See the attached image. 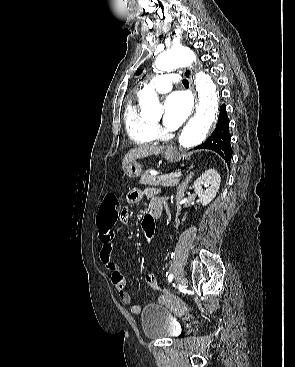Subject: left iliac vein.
Returning <instances> with one entry per match:
<instances>
[{
	"mask_svg": "<svg viewBox=\"0 0 295 367\" xmlns=\"http://www.w3.org/2000/svg\"><path fill=\"white\" fill-rule=\"evenodd\" d=\"M187 284H188V281H187V279L185 277H183V278L180 279V286L182 288H186L187 287Z\"/></svg>",
	"mask_w": 295,
	"mask_h": 367,
	"instance_id": "left-iliac-vein-1",
	"label": "left iliac vein"
}]
</instances>
